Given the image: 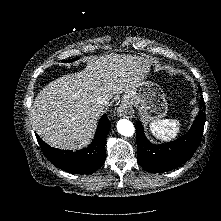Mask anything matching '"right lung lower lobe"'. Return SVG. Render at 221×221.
Returning a JSON list of instances; mask_svg holds the SVG:
<instances>
[{"mask_svg": "<svg viewBox=\"0 0 221 221\" xmlns=\"http://www.w3.org/2000/svg\"><path fill=\"white\" fill-rule=\"evenodd\" d=\"M110 126V121L104 114L92 143L86 149L76 152L52 148L37 134L36 138L42 152L54 166L72 173L87 174L99 169L105 161V140Z\"/></svg>", "mask_w": 221, "mask_h": 221, "instance_id": "obj_1", "label": "right lung lower lobe"}]
</instances>
